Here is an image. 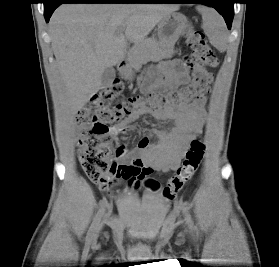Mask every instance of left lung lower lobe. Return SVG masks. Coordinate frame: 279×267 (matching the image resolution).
<instances>
[{"mask_svg": "<svg viewBox=\"0 0 279 267\" xmlns=\"http://www.w3.org/2000/svg\"><path fill=\"white\" fill-rule=\"evenodd\" d=\"M150 3H199L215 8L225 19L228 29L234 16V0H154Z\"/></svg>", "mask_w": 279, "mask_h": 267, "instance_id": "obj_1", "label": "left lung lower lobe"}]
</instances>
